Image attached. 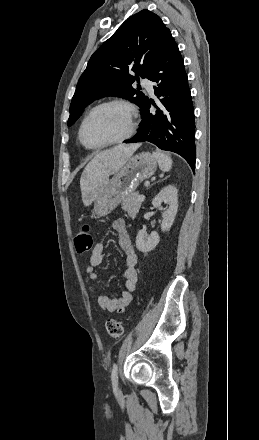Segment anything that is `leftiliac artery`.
I'll return each mask as SVG.
<instances>
[{
  "instance_id": "1",
  "label": "left iliac artery",
  "mask_w": 259,
  "mask_h": 440,
  "mask_svg": "<svg viewBox=\"0 0 259 440\" xmlns=\"http://www.w3.org/2000/svg\"><path fill=\"white\" fill-rule=\"evenodd\" d=\"M118 365L114 364L113 369H112V373H111V380H112V385L113 387H117V382H118Z\"/></svg>"
}]
</instances>
